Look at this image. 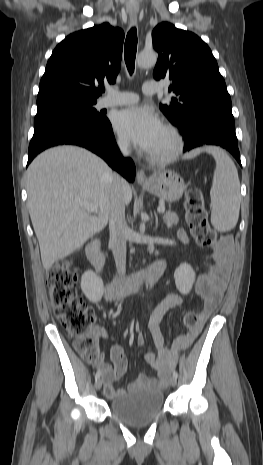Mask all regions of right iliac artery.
<instances>
[{
    "mask_svg": "<svg viewBox=\"0 0 263 465\" xmlns=\"http://www.w3.org/2000/svg\"><path fill=\"white\" fill-rule=\"evenodd\" d=\"M100 375H101V372L100 371H97L96 374H95V379H99L100 378Z\"/></svg>",
    "mask_w": 263,
    "mask_h": 465,
    "instance_id": "1",
    "label": "right iliac artery"
}]
</instances>
